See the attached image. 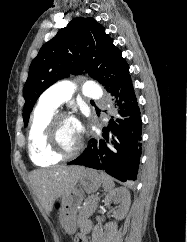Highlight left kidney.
I'll list each match as a JSON object with an SVG mask.
<instances>
[{
	"label": "left kidney",
	"mask_w": 187,
	"mask_h": 242,
	"mask_svg": "<svg viewBox=\"0 0 187 242\" xmlns=\"http://www.w3.org/2000/svg\"><path fill=\"white\" fill-rule=\"evenodd\" d=\"M119 204L116 210H113V215L116 220L123 219L130 207L131 196L128 189L119 187L111 191L104 200L105 205L110 207L111 203ZM117 223H108L103 228L95 226L92 232V242H111L117 232Z\"/></svg>",
	"instance_id": "left-kidney-1"
}]
</instances>
